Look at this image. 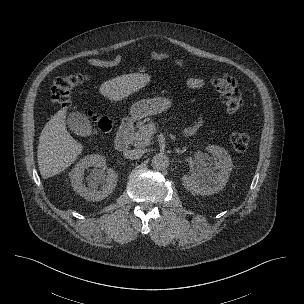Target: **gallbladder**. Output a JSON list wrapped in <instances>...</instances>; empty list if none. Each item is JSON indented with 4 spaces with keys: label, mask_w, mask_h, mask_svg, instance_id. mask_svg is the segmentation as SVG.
<instances>
[{
    "label": "gallbladder",
    "mask_w": 304,
    "mask_h": 304,
    "mask_svg": "<svg viewBox=\"0 0 304 304\" xmlns=\"http://www.w3.org/2000/svg\"><path fill=\"white\" fill-rule=\"evenodd\" d=\"M68 128L79 136H89L92 128L88 117L80 112L70 113L66 120Z\"/></svg>",
    "instance_id": "gallbladder-1"
}]
</instances>
